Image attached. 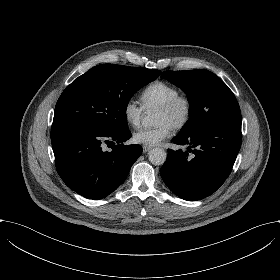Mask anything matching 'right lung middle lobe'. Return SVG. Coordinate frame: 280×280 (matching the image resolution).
Segmentation results:
<instances>
[{
  "label": "right lung middle lobe",
  "instance_id": "obj_1",
  "mask_svg": "<svg viewBox=\"0 0 280 280\" xmlns=\"http://www.w3.org/2000/svg\"><path fill=\"white\" fill-rule=\"evenodd\" d=\"M160 73L157 69L97 65L63 91L56 103L53 125L77 124L108 133L125 129L130 98Z\"/></svg>",
  "mask_w": 280,
  "mask_h": 280
}]
</instances>
